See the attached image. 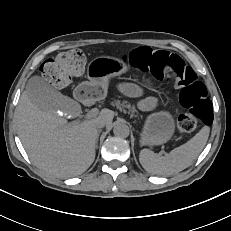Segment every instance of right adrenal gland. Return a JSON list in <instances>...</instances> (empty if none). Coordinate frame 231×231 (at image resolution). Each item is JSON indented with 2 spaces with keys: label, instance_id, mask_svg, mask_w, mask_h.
<instances>
[{
  "label": "right adrenal gland",
  "instance_id": "2a0ac1e0",
  "mask_svg": "<svg viewBox=\"0 0 231 231\" xmlns=\"http://www.w3.org/2000/svg\"><path fill=\"white\" fill-rule=\"evenodd\" d=\"M100 131H101V130L98 131V136H99V134H100ZM98 136H97V140H96V147H97V143H98Z\"/></svg>",
  "mask_w": 231,
  "mask_h": 231
}]
</instances>
